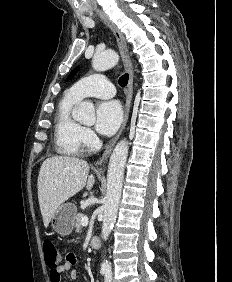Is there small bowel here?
I'll use <instances>...</instances> for the list:
<instances>
[{"mask_svg": "<svg viewBox=\"0 0 232 282\" xmlns=\"http://www.w3.org/2000/svg\"><path fill=\"white\" fill-rule=\"evenodd\" d=\"M77 263V257L74 253H68L65 261L58 265L56 270L50 271V282H62V273L69 271V279L75 281L78 278V272L74 268Z\"/></svg>", "mask_w": 232, "mask_h": 282, "instance_id": "c3829d8e", "label": "small bowel"}]
</instances>
